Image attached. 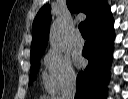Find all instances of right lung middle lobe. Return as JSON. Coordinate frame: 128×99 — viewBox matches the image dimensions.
Masks as SVG:
<instances>
[{"instance_id":"obj_1","label":"right lung middle lobe","mask_w":128,"mask_h":99,"mask_svg":"<svg viewBox=\"0 0 128 99\" xmlns=\"http://www.w3.org/2000/svg\"><path fill=\"white\" fill-rule=\"evenodd\" d=\"M41 55L35 56L31 58V69H30V77H29V84L32 85L33 81L36 79L39 66H40V58Z\"/></svg>"}]
</instances>
